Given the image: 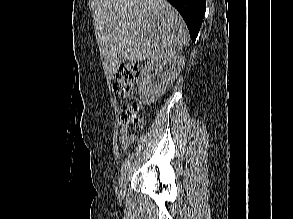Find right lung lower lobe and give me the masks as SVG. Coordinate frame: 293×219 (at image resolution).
I'll return each instance as SVG.
<instances>
[{
    "instance_id": "obj_1",
    "label": "right lung lower lobe",
    "mask_w": 293,
    "mask_h": 219,
    "mask_svg": "<svg viewBox=\"0 0 293 219\" xmlns=\"http://www.w3.org/2000/svg\"><path fill=\"white\" fill-rule=\"evenodd\" d=\"M181 14L195 42L199 33L206 8V0H168Z\"/></svg>"
}]
</instances>
